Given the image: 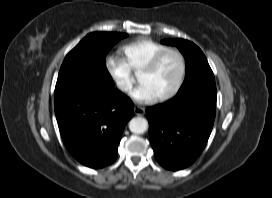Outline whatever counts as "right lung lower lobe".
Returning <instances> with one entry per match:
<instances>
[{"label": "right lung lower lobe", "instance_id": "right-lung-lower-lobe-1", "mask_svg": "<svg viewBox=\"0 0 272 198\" xmlns=\"http://www.w3.org/2000/svg\"><path fill=\"white\" fill-rule=\"evenodd\" d=\"M54 107L63 142L76 160L90 168L114 162L123 129L133 116L130 98L114 87H85L54 97Z\"/></svg>", "mask_w": 272, "mask_h": 198}]
</instances>
